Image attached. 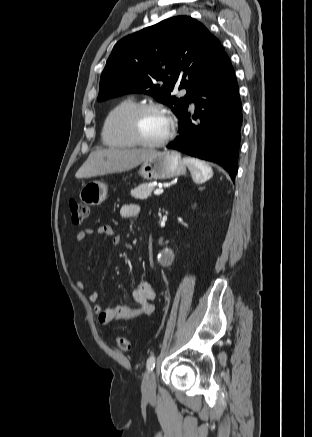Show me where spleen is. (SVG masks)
<instances>
[{
  "instance_id": "obj_1",
  "label": "spleen",
  "mask_w": 312,
  "mask_h": 437,
  "mask_svg": "<svg viewBox=\"0 0 312 437\" xmlns=\"http://www.w3.org/2000/svg\"><path fill=\"white\" fill-rule=\"evenodd\" d=\"M191 172L195 183H204L213 176L212 168L197 158L186 157L183 159Z\"/></svg>"
}]
</instances>
